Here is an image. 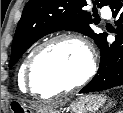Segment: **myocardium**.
I'll return each mask as SVG.
<instances>
[{
	"instance_id": "obj_1",
	"label": "myocardium",
	"mask_w": 123,
	"mask_h": 113,
	"mask_svg": "<svg viewBox=\"0 0 123 113\" xmlns=\"http://www.w3.org/2000/svg\"><path fill=\"white\" fill-rule=\"evenodd\" d=\"M61 41H73L76 42L78 45L82 47V49L85 51L88 59V67L84 75L77 80L75 83H73L70 86L67 87H61V88H56L53 89L46 94H43L36 89L34 80H33V67L36 59L38 56L49 46L61 42ZM96 72V58L93 52V49L88 42L86 38L83 36L76 34V33H63L56 35L41 44H39L30 54L29 58L27 59L25 69H24V80H25V85L26 88L31 92L34 93L42 98H50L54 95L57 94H62V93H69L78 87L84 85L86 82H88L95 74Z\"/></svg>"
}]
</instances>
